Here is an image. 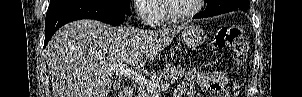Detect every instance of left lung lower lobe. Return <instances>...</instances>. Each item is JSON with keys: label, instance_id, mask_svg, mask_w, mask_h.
I'll list each match as a JSON object with an SVG mask.
<instances>
[{"label": "left lung lower lobe", "instance_id": "0a47b994", "mask_svg": "<svg viewBox=\"0 0 302 97\" xmlns=\"http://www.w3.org/2000/svg\"><path fill=\"white\" fill-rule=\"evenodd\" d=\"M243 11V10H242ZM221 14L219 12L216 11H210L208 9H205V11L198 13L197 15H195L193 17V19H197V18H206V17H210V16H215Z\"/></svg>", "mask_w": 302, "mask_h": 97}]
</instances>
